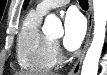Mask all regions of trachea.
Listing matches in <instances>:
<instances>
[{
  "mask_svg": "<svg viewBox=\"0 0 107 75\" xmlns=\"http://www.w3.org/2000/svg\"><path fill=\"white\" fill-rule=\"evenodd\" d=\"M79 4L82 8H88V0H79Z\"/></svg>",
  "mask_w": 107,
  "mask_h": 75,
  "instance_id": "3493384b",
  "label": "trachea"
}]
</instances>
